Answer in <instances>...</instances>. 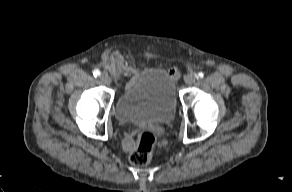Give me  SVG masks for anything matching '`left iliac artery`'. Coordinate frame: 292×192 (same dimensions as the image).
Wrapping results in <instances>:
<instances>
[{"label":"left iliac artery","mask_w":292,"mask_h":192,"mask_svg":"<svg viewBox=\"0 0 292 192\" xmlns=\"http://www.w3.org/2000/svg\"><path fill=\"white\" fill-rule=\"evenodd\" d=\"M197 77L201 79L204 77V74L202 72H199Z\"/></svg>","instance_id":"obj_1"}]
</instances>
